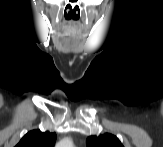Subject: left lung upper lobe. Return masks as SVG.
I'll return each instance as SVG.
<instances>
[{
  "mask_svg": "<svg viewBox=\"0 0 163 147\" xmlns=\"http://www.w3.org/2000/svg\"><path fill=\"white\" fill-rule=\"evenodd\" d=\"M88 147H123L119 139L109 133L100 136H90L87 138Z\"/></svg>",
  "mask_w": 163,
  "mask_h": 147,
  "instance_id": "1",
  "label": "left lung upper lobe"
}]
</instances>
